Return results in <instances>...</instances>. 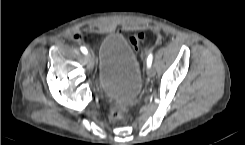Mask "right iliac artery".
Masks as SVG:
<instances>
[{"label": "right iliac artery", "instance_id": "1", "mask_svg": "<svg viewBox=\"0 0 245 145\" xmlns=\"http://www.w3.org/2000/svg\"><path fill=\"white\" fill-rule=\"evenodd\" d=\"M81 51L82 53L87 54V49L85 47H81Z\"/></svg>", "mask_w": 245, "mask_h": 145}]
</instances>
